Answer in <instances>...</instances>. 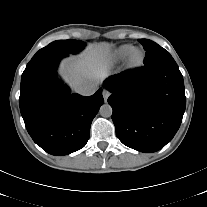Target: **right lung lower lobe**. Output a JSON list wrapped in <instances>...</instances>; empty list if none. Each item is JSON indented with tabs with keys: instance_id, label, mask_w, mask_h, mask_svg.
Masks as SVG:
<instances>
[{
	"instance_id": "98d812e1",
	"label": "right lung lower lobe",
	"mask_w": 207,
	"mask_h": 207,
	"mask_svg": "<svg viewBox=\"0 0 207 207\" xmlns=\"http://www.w3.org/2000/svg\"><path fill=\"white\" fill-rule=\"evenodd\" d=\"M49 55L30 61L21 77L20 111L26 129L44 151L63 156L83 148L104 102L100 88L92 96L71 93L56 76L60 60Z\"/></svg>"
}]
</instances>
